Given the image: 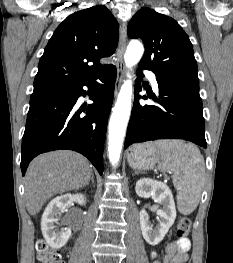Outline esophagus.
Returning <instances> with one entry per match:
<instances>
[{"instance_id":"esophagus-1","label":"esophagus","mask_w":233,"mask_h":263,"mask_svg":"<svg viewBox=\"0 0 233 263\" xmlns=\"http://www.w3.org/2000/svg\"><path fill=\"white\" fill-rule=\"evenodd\" d=\"M126 40H127V23L122 21L120 23V37H119V47L117 51V77L115 82V95L117 94L125 76V63H124V53L126 49Z\"/></svg>"}]
</instances>
